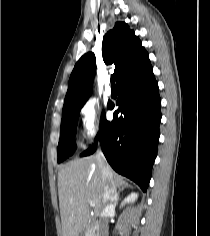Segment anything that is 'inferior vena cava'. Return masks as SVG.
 Returning a JSON list of instances; mask_svg holds the SVG:
<instances>
[{
    "mask_svg": "<svg viewBox=\"0 0 210 236\" xmlns=\"http://www.w3.org/2000/svg\"><path fill=\"white\" fill-rule=\"evenodd\" d=\"M96 160L105 177L109 178L108 165L100 149L96 153ZM116 201L117 191L116 189L111 188L109 183H107L104 187L103 206L100 213L99 236H108V217L115 213Z\"/></svg>",
    "mask_w": 210,
    "mask_h": 236,
    "instance_id": "inferior-vena-cava-1",
    "label": "inferior vena cava"
}]
</instances>
